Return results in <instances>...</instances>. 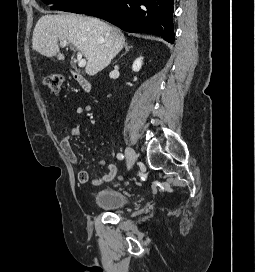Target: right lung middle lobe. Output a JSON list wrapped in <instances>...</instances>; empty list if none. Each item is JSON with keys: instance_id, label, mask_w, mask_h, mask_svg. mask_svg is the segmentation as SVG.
<instances>
[{"instance_id": "dd1d6c3e", "label": "right lung middle lobe", "mask_w": 255, "mask_h": 272, "mask_svg": "<svg viewBox=\"0 0 255 272\" xmlns=\"http://www.w3.org/2000/svg\"><path fill=\"white\" fill-rule=\"evenodd\" d=\"M46 4H53L51 9L85 14L98 0H42Z\"/></svg>"}]
</instances>
